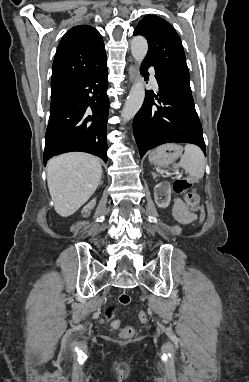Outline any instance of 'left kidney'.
Here are the masks:
<instances>
[{"mask_svg":"<svg viewBox=\"0 0 249 382\" xmlns=\"http://www.w3.org/2000/svg\"><path fill=\"white\" fill-rule=\"evenodd\" d=\"M152 202L158 207L166 208L171 200V186L168 182H162L155 186Z\"/></svg>","mask_w":249,"mask_h":382,"instance_id":"left-kidney-1","label":"left kidney"}]
</instances>
